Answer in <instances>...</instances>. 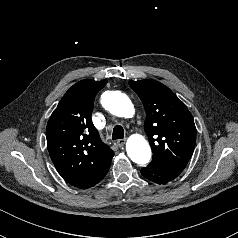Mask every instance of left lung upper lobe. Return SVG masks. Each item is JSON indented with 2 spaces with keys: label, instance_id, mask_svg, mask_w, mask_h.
<instances>
[{
  "label": "left lung upper lobe",
  "instance_id": "left-lung-upper-lobe-1",
  "mask_svg": "<svg viewBox=\"0 0 238 238\" xmlns=\"http://www.w3.org/2000/svg\"><path fill=\"white\" fill-rule=\"evenodd\" d=\"M128 83L146 111L144 130L152 148V161L184 169L196 142V127L186 105L158 81Z\"/></svg>",
  "mask_w": 238,
  "mask_h": 238
}]
</instances>
